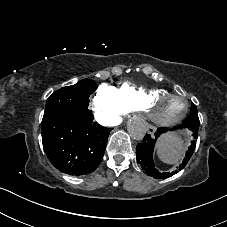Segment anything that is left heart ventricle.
Segmentation results:
<instances>
[{"instance_id": "left-heart-ventricle-1", "label": "left heart ventricle", "mask_w": 227, "mask_h": 227, "mask_svg": "<svg viewBox=\"0 0 227 227\" xmlns=\"http://www.w3.org/2000/svg\"><path fill=\"white\" fill-rule=\"evenodd\" d=\"M183 106L181 99H164L156 108L155 112L161 118H170L180 112Z\"/></svg>"}]
</instances>
